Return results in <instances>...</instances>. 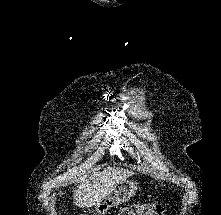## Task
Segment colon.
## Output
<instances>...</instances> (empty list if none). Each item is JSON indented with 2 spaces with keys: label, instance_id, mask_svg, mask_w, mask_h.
Here are the masks:
<instances>
[{
  "label": "colon",
  "instance_id": "colon-1",
  "mask_svg": "<svg viewBox=\"0 0 221 215\" xmlns=\"http://www.w3.org/2000/svg\"><path fill=\"white\" fill-rule=\"evenodd\" d=\"M116 215H166V209L158 204H131L120 208Z\"/></svg>",
  "mask_w": 221,
  "mask_h": 215
}]
</instances>
